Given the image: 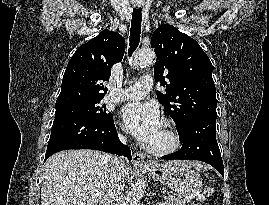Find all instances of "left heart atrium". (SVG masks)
Wrapping results in <instances>:
<instances>
[{
    "label": "left heart atrium",
    "instance_id": "obj_1",
    "mask_svg": "<svg viewBox=\"0 0 269 205\" xmlns=\"http://www.w3.org/2000/svg\"><path fill=\"white\" fill-rule=\"evenodd\" d=\"M121 118L125 130L145 144H150L161 129L158 108L153 103L135 101L123 106Z\"/></svg>",
    "mask_w": 269,
    "mask_h": 205
}]
</instances>
